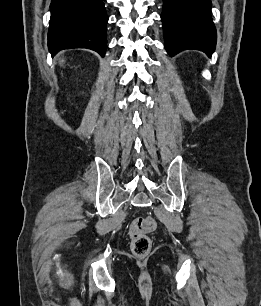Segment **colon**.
Wrapping results in <instances>:
<instances>
[{
  "instance_id": "5ec220e1",
  "label": "colon",
  "mask_w": 261,
  "mask_h": 306,
  "mask_svg": "<svg viewBox=\"0 0 261 306\" xmlns=\"http://www.w3.org/2000/svg\"><path fill=\"white\" fill-rule=\"evenodd\" d=\"M156 221L151 216L134 219L129 228L130 247L137 257L146 256L151 249V239L148 233L154 231Z\"/></svg>"
}]
</instances>
